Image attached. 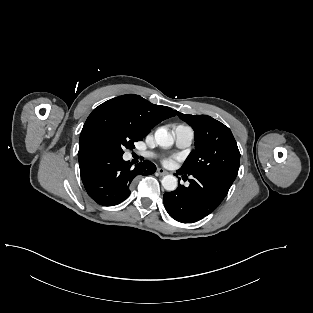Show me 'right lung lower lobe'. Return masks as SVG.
I'll list each match as a JSON object with an SVG mask.
<instances>
[{"label":"right lung lower lobe","mask_w":313,"mask_h":313,"mask_svg":"<svg viewBox=\"0 0 313 313\" xmlns=\"http://www.w3.org/2000/svg\"><path fill=\"white\" fill-rule=\"evenodd\" d=\"M79 159L80 174L88 195L98 204L113 206L123 202L139 175H149L156 166L145 160L131 167L122 155L95 152Z\"/></svg>","instance_id":"obj_1"}]
</instances>
